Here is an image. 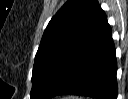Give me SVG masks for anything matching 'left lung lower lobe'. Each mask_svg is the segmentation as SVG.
Here are the masks:
<instances>
[{
    "label": "left lung lower lobe",
    "mask_w": 128,
    "mask_h": 99,
    "mask_svg": "<svg viewBox=\"0 0 128 99\" xmlns=\"http://www.w3.org/2000/svg\"><path fill=\"white\" fill-rule=\"evenodd\" d=\"M117 61L106 15L86 42L59 68L44 99L81 95L117 99Z\"/></svg>",
    "instance_id": "left-lung-lower-lobe-1"
}]
</instances>
